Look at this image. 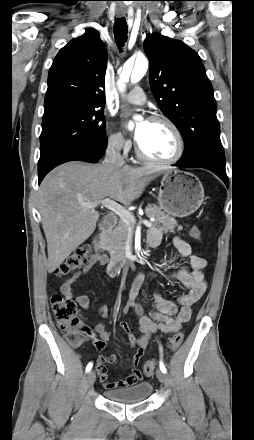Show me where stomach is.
Masks as SVG:
<instances>
[{
    "label": "stomach",
    "mask_w": 254,
    "mask_h": 440,
    "mask_svg": "<svg viewBox=\"0 0 254 440\" xmlns=\"http://www.w3.org/2000/svg\"><path fill=\"white\" fill-rule=\"evenodd\" d=\"M204 188L192 173L181 170L166 171L161 179L158 202L165 213L174 217H187L201 206Z\"/></svg>",
    "instance_id": "1"
}]
</instances>
